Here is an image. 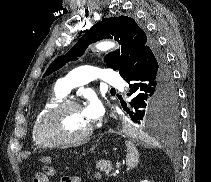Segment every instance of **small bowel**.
Listing matches in <instances>:
<instances>
[{
    "label": "small bowel",
    "instance_id": "c3829d8e",
    "mask_svg": "<svg viewBox=\"0 0 211 182\" xmlns=\"http://www.w3.org/2000/svg\"><path fill=\"white\" fill-rule=\"evenodd\" d=\"M46 182H48V180ZM61 182H81V180L78 177H66L63 178Z\"/></svg>",
    "mask_w": 211,
    "mask_h": 182
}]
</instances>
